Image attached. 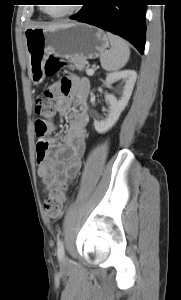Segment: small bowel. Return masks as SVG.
Listing matches in <instances>:
<instances>
[{
  "label": "small bowel",
  "mask_w": 181,
  "mask_h": 300,
  "mask_svg": "<svg viewBox=\"0 0 181 300\" xmlns=\"http://www.w3.org/2000/svg\"><path fill=\"white\" fill-rule=\"evenodd\" d=\"M88 92L89 82L75 75L61 78L48 89V94L55 98L58 114L68 116V129L62 142L50 136L36 145L37 172L49 192L73 180L81 168L89 122ZM73 105L77 109L71 112ZM47 125L50 135L56 125L53 122H47Z\"/></svg>",
  "instance_id": "small-bowel-1"
}]
</instances>
